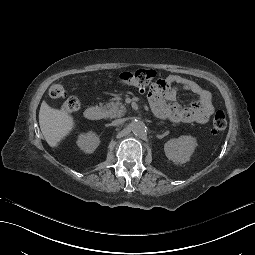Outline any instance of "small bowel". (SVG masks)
<instances>
[{
  "label": "small bowel",
  "mask_w": 255,
  "mask_h": 255,
  "mask_svg": "<svg viewBox=\"0 0 255 255\" xmlns=\"http://www.w3.org/2000/svg\"><path fill=\"white\" fill-rule=\"evenodd\" d=\"M190 91L197 96V100L190 107L180 108L176 105L166 106L165 100L172 101L178 88ZM152 108L162 107L173 122L183 123H206L214 111L211 93L202 88L194 80L179 75H169L161 81V85L155 84L150 90Z\"/></svg>",
  "instance_id": "obj_1"
}]
</instances>
